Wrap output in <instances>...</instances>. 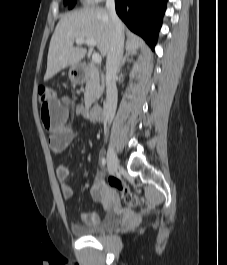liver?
Wrapping results in <instances>:
<instances>
[{"label": "liver", "instance_id": "liver-1", "mask_svg": "<svg viewBox=\"0 0 227 265\" xmlns=\"http://www.w3.org/2000/svg\"><path fill=\"white\" fill-rule=\"evenodd\" d=\"M112 21L105 9L87 7L63 15L52 35L44 80L52 78L68 66H78L85 57V48H75L73 43L77 38L94 39L102 56L108 55L112 41ZM123 34L125 25L122 23ZM142 40L136 36L130 37L126 50L135 53Z\"/></svg>", "mask_w": 227, "mask_h": 265}]
</instances>
